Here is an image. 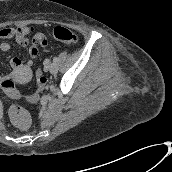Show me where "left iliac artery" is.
<instances>
[{"label":"left iliac artery","instance_id":"1","mask_svg":"<svg viewBox=\"0 0 172 172\" xmlns=\"http://www.w3.org/2000/svg\"><path fill=\"white\" fill-rule=\"evenodd\" d=\"M57 61H58V58H57V57H54V58H53V62L56 63Z\"/></svg>","mask_w":172,"mask_h":172}]
</instances>
